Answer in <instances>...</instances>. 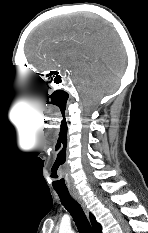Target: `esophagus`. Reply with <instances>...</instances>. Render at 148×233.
I'll return each mask as SVG.
<instances>
[{"mask_svg":"<svg viewBox=\"0 0 148 233\" xmlns=\"http://www.w3.org/2000/svg\"><path fill=\"white\" fill-rule=\"evenodd\" d=\"M69 192H70L71 196L80 204V206L82 207L84 212H87L86 205H85L81 195L79 194V192L76 190H70Z\"/></svg>","mask_w":148,"mask_h":233,"instance_id":"34e87169","label":"esophagus"}]
</instances>
